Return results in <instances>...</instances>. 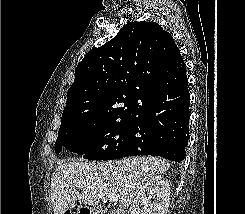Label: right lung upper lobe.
I'll return each mask as SVG.
<instances>
[{"label":"right lung upper lobe","instance_id":"1","mask_svg":"<svg viewBox=\"0 0 245 214\" xmlns=\"http://www.w3.org/2000/svg\"><path fill=\"white\" fill-rule=\"evenodd\" d=\"M185 79L172 36L157 23L130 22L78 64L62 115L103 119L136 111L155 90Z\"/></svg>","mask_w":245,"mask_h":214}]
</instances>
